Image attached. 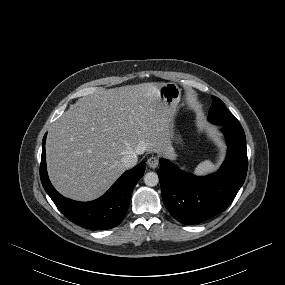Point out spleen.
<instances>
[{
    "label": "spleen",
    "mask_w": 285,
    "mask_h": 285,
    "mask_svg": "<svg viewBox=\"0 0 285 285\" xmlns=\"http://www.w3.org/2000/svg\"><path fill=\"white\" fill-rule=\"evenodd\" d=\"M215 170V165L209 161L205 160L197 165L194 170V173L199 176H204L212 173Z\"/></svg>",
    "instance_id": "3e777b00"
}]
</instances>
